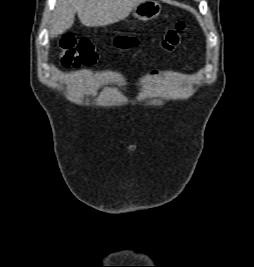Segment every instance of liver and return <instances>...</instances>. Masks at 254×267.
<instances>
[{"label": "liver", "mask_w": 254, "mask_h": 267, "mask_svg": "<svg viewBox=\"0 0 254 267\" xmlns=\"http://www.w3.org/2000/svg\"><path fill=\"white\" fill-rule=\"evenodd\" d=\"M145 0H57L50 36L63 34L74 23L75 14L87 27L107 26L125 18Z\"/></svg>", "instance_id": "obj_1"}]
</instances>
